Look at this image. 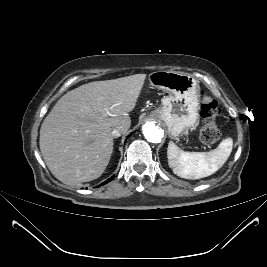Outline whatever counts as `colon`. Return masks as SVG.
I'll use <instances>...</instances> for the list:
<instances>
[{
	"label": "colon",
	"instance_id": "colon-1",
	"mask_svg": "<svg viewBox=\"0 0 267 267\" xmlns=\"http://www.w3.org/2000/svg\"><path fill=\"white\" fill-rule=\"evenodd\" d=\"M201 116L204 124L200 129V139L204 144L210 145L220 138V131L216 125V118L220 112L218 103L211 96L202 92Z\"/></svg>",
	"mask_w": 267,
	"mask_h": 267
}]
</instances>
